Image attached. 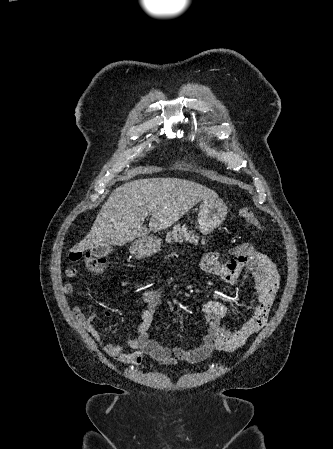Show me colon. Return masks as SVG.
Wrapping results in <instances>:
<instances>
[{
  "instance_id": "5ec220e1",
  "label": "colon",
  "mask_w": 333,
  "mask_h": 449,
  "mask_svg": "<svg viewBox=\"0 0 333 449\" xmlns=\"http://www.w3.org/2000/svg\"><path fill=\"white\" fill-rule=\"evenodd\" d=\"M240 217L251 226L260 228L261 224L253 212L248 208H242L239 211ZM69 260L73 263H82L84 267L92 273H100L104 270L106 259L101 256L93 255L84 251H71Z\"/></svg>"
}]
</instances>
